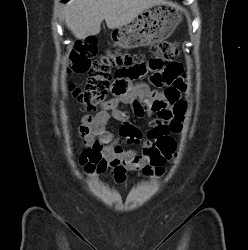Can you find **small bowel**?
<instances>
[{
  "mask_svg": "<svg viewBox=\"0 0 248 250\" xmlns=\"http://www.w3.org/2000/svg\"><path fill=\"white\" fill-rule=\"evenodd\" d=\"M124 71L121 69L116 72L112 84L113 97L106 101L96 114L85 115L79 127V134L84 144L95 153V157L86 165L87 171L103 173L107 168H111L117 182L124 181L127 172L145 170L151 164L154 152V145L150 141L143 144L141 153L126 150L118 142H111V136L106 127L112 120L121 123L119 133L123 138L130 142H139L142 138L141 132L132 125L130 115L120 110L119 106L131 104L135 99L149 102L151 105L157 104L151 109L155 114V121L148 132L150 140H154L162 133H178L182 126V115L185 109L183 100H181L183 109L180 112H177L172 104L161 106L160 103L166 102L163 92H154L145 83H132L127 76L122 74ZM159 71L168 72L175 77L172 88L181 98L185 90L182 66L178 63L160 64ZM148 72L155 73L149 63L137 65L138 77Z\"/></svg>",
  "mask_w": 248,
  "mask_h": 250,
  "instance_id": "obj_1",
  "label": "small bowel"
}]
</instances>
